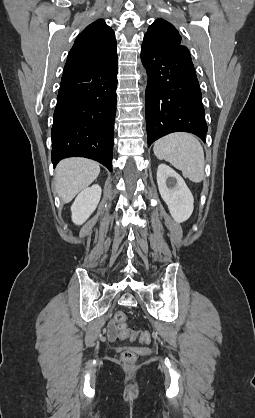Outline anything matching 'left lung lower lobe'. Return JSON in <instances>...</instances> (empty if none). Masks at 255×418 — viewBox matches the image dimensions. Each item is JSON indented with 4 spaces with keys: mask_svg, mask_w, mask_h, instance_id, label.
Listing matches in <instances>:
<instances>
[{
    "mask_svg": "<svg viewBox=\"0 0 255 418\" xmlns=\"http://www.w3.org/2000/svg\"><path fill=\"white\" fill-rule=\"evenodd\" d=\"M148 74L145 114L148 146L173 132H189L205 141L207 125L202 94L187 47L157 50L142 43Z\"/></svg>",
    "mask_w": 255,
    "mask_h": 418,
    "instance_id": "left-lung-lower-lobe-1",
    "label": "left lung lower lobe"
}]
</instances>
